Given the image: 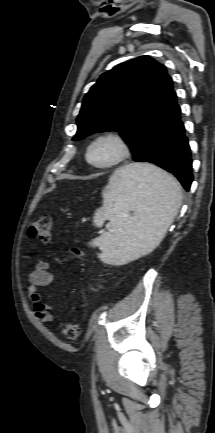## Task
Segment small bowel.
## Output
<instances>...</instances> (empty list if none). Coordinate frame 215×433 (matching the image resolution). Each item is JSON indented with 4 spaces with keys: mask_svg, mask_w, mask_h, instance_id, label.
<instances>
[{
    "mask_svg": "<svg viewBox=\"0 0 215 433\" xmlns=\"http://www.w3.org/2000/svg\"><path fill=\"white\" fill-rule=\"evenodd\" d=\"M53 281L54 276L50 271V264L45 260H38L29 274L30 287L27 293L34 306L36 318L43 323L53 322L54 317L50 312V306L44 302L39 289L51 285Z\"/></svg>",
    "mask_w": 215,
    "mask_h": 433,
    "instance_id": "c3829d8e",
    "label": "small bowel"
}]
</instances>
